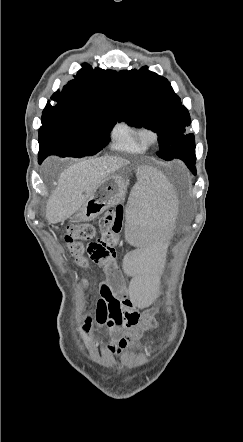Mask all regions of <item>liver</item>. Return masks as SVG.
I'll return each instance as SVG.
<instances>
[{
    "instance_id": "1",
    "label": "liver",
    "mask_w": 243,
    "mask_h": 442,
    "mask_svg": "<svg viewBox=\"0 0 243 442\" xmlns=\"http://www.w3.org/2000/svg\"><path fill=\"white\" fill-rule=\"evenodd\" d=\"M128 163L120 157L103 156L84 159L69 166L60 174L58 186L47 201V221L56 224L70 218L103 180Z\"/></svg>"
}]
</instances>
